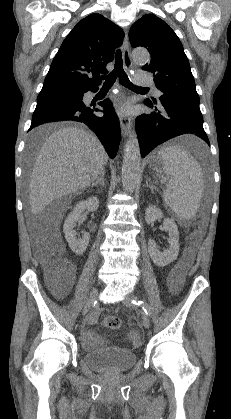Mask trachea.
<instances>
[{
    "label": "trachea",
    "instance_id": "1",
    "mask_svg": "<svg viewBox=\"0 0 231 419\" xmlns=\"http://www.w3.org/2000/svg\"><path fill=\"white\" fill-rule=\"evenodd\" d=\"M117 78H119L120 84L129 89L148 90V88L135 86L129 81L128 76L123 69L122 53L120 50L116 52V62L114 70L109 75H102V79L105 80V82L103 83V88L112 87Z\"/></svg>",
    "mask_w": 231,
    "mask_h": 419
}]
</instances>
